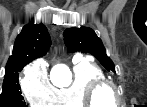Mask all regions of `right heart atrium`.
Wrapping results in <instances>:
<instances>
[{
	"label": "right heart atrium",
	"mask_w": 147,
	"mask_h": 107,
	"mask_svg": "<svg viewBox=\"0 0 147 107\" xmlns=\"http://www.w3.org/2000/svg\"><path fill=\"white\" fill-rule=\"evenodd\" d=\"M21 87L28 103L32 106L46 105L54 95L47 70L40 63H33L28 67L21 81Z\"/></svg>",
	"instance_id": "1"
}]
</instances>
